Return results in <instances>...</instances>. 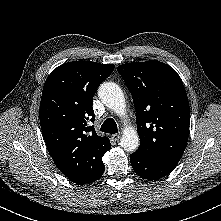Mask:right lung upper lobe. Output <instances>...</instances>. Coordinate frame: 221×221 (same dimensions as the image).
<instances>
[{"label": "right lung upper lobe", "instance_id": "cb5924a9", "mask_svg": "<svg viewBox=\"0 0 221 221\" xmlns=\"http://www.w3.org/2000/svg\"><path fill=\"white\" fill-rule=\"evenodd\" d=\"M113 64L75 61L48 76L40 103V125L57 168L79 185L93 182L104 171L102 157L111 147L95 133L93 96L112 73Z\"/></svg>", "mask_w": 221, "mask_h": 221}]
</instances>
